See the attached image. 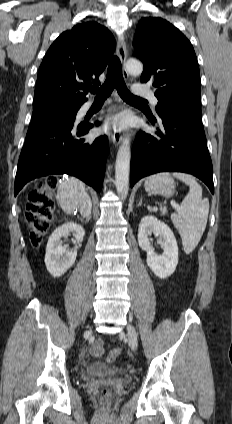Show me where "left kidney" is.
<instances>
[{"label": "left kidney", "instance_id": "left-kidney-1", "mask_svg": "<svg viewBox=\"0 0 232 424\" xmlns=\"http://www.w3.org/2000/svg\"><path fill=\"white\" fill-rule=\"evenodd\" d=\"M152 233L163 238L162 255L154 252L148 238ZM138 243L140 248L147 252V265L157 277L165 279L174 273L178 264V246L167 224L153 216L143 217L139 224Z\"/></svg>", "mask_w": 232, "mask_h": 424}]
</instances>
